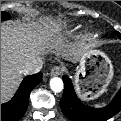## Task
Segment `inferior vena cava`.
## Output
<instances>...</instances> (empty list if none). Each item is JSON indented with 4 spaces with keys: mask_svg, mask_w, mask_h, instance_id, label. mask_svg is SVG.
Returning a JSON list of instances; mask_svg holds the SVG:
<instances>
[{
    "mask_svg": "<svg viewBox=\"0 0 121 121\" xmlns=\"http://www.w3.org/2000/svg\"><path fill=\"white\" fill-rule=\"evenodd\" d=\"M43 67V61L40 57L30 56L21 65V72L23 74H36L40 72Z\"/></svg>",
    "mask_w": 121,
    "mask_h": 121,
    "instance_id": "1",
    "label": "inferior vena cava"
}]
</instances>
